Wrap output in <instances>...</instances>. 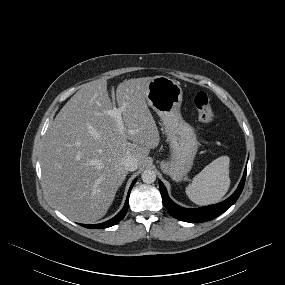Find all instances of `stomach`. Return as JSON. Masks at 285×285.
<instances>
[{
    "mask_svg": "<svg viewBox=\"0 0 285 285\" xmlns=\"http://www.w3.org/2000/svg\"><path fill=\"white\" fill-rule=\"evenodd\" d=\"M182 98L180 83L169 77L155 76L148 85L146 101L159 115L170 146V159L161 162V169L176 181L191 170L198 150L194 129L180 113Z\"/></svg>",
    "mask_w": 285,
    "mask_h": 285,
    "instance_id": "obj_1",
    "label": "stomach"
}]
</instances>
